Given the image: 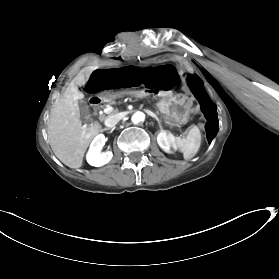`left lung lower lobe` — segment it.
Returning <instances> with one entry per match:
<instances>
[{
	"label": "left lung lower lobe",
	"instance_id": "obj_1",
	"mask_svg": "<svg viewBox=\"0 0 279 279\" xmlns=\"http://www.w3.org/2000/svg\"><path fill=\"white\" fill-rule=\"evenodd\" d=\"M188 84L195 97L200 101L201 109L207 119V123L205 124L207 139L211 143L218 130L216 105L210 100L200 81L194 75L189 76Z\"/></svg>",
	"mask_w": 279,
	"mask_h": 279
}]
</instances>
